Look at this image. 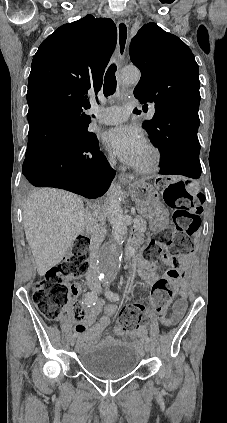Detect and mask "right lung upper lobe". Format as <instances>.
<instances>
[{
  "instance_id": "cb5924a9",
  "label": "right lung upper lobe",
  "mask_w": 227,
  "mask_h": 423,
  "mask_svg": "<svg viewBox=\"0 0 227 423\" xmlns=\"http://www.w3.org/2000/svg\"><path fill=\"white\" fill-rule=\"evenodd\" d=\"M112 21L92 15L59 27L34 55L28 80L26 155L71 144L91 132L89 92L97 93L117 42Z\"/></svg>"
}]
</instances>
